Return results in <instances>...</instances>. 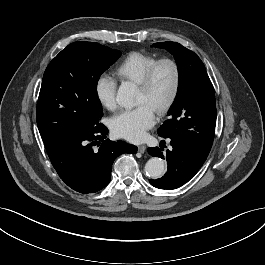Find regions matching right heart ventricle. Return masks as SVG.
<instances>
[{"mask_svg": "<svg viewBox=\"0 0 265 265\" xmlns=\"http://www.w3.org/2000/svg\"><path fill=\"white\" fill-rule=\"evenodd\" d=\"M157 60L146 52L133 51L127 54L115 68L116 77L122 82L138 84L145 71Z\"/></svg>", "mask_w": 265, "mask_h": 265, "instance_id": "1", "label": "right heart ventricle"}]
</instances>
